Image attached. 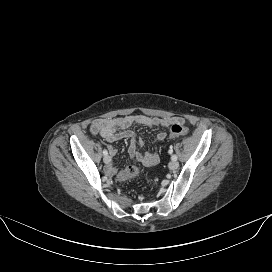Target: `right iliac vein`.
Listing matches in <instances>:
<instances>
[{"mask_svg":"<svg viewBox=\"0 0 272 272\" xmlns=\"http://www.w3.org/2000/svg\"><path fill=\"white\" fill-rule=\"evenodd\" d=\"M110 157L108 156V155H106V156H104V158H103V161L106 163V164H108V163H110Z\"/></svg>","mask_w":272,"mask_h":272,"instance_id":"obj_1","label":"right iliac vein"}]
</instances>
